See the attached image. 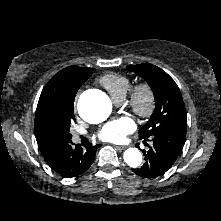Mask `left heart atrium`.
<instances>
[{"label":"left heart atrium","instance_id":"left-heart-atrium-1","mask_svg":"<svg viewBox=\"0 0 221 221\" xmlns=\"http://www.w3.org/2000/svg\"><path fill=\"white\" fill-rule=\"evenodd\" d=\"M134 129V121L128 116H123L105 124L99 131L98 137L104 141L123 142Z\"/></svg>","mask_w":221,"mask_h":221}]
</instances>
